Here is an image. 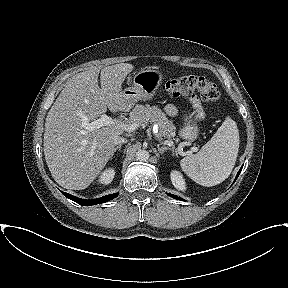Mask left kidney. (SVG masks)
Returning <instances> with one entry per match:
<instances>
[{
	"label": "left kidney",
	"mask_w": 288,
	"mask_h": 288,
	"mask_svg": "<svg viewBox=\"0 0 288 288\" xmlns=\"http://www.w3.org/2000/svg\"><path fill=\"white\" fill-rule=\"evenodd\" d=\"M170 176L172 184L174 185L175 188L179 190L186 189L185 180L183 179V176L179 171L176 170L172 171Z\"/></svg>",
	"instance_id": "left-kidney-1"
}]
</instances>
